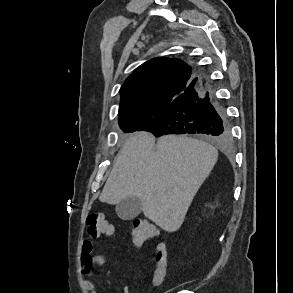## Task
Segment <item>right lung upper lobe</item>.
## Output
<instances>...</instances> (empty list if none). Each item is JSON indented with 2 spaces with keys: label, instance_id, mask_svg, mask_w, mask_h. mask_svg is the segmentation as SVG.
<instances>
[{
  "label": "right lung upper lobe",
  "instance_id": "obj_1",
  "mask_svg": "<svg viewBox=\"0 0 293 293\" xmlns=\"http://www.w3.org/2000/svg\"><path fill=\"white\" fill-rule=\"evenodd\" d=\"M191 80V67L183 61L153 58L135 69L122 85L119 115L149 108L155 117L169 107Z\"/></svg>",
  "mask_w": 293,
  "mask_h": 293
}]
</instances>
